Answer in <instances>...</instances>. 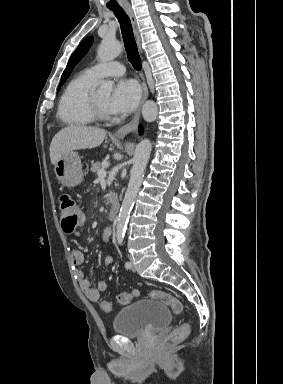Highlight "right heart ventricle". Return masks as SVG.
Here are the masks:
<instances>
[{
    "label": "right heart ventricle",
    "instance_id": "1",
    "mask_svg": "<svg viewBox=\"0 0 283 384\" xmlns=\"http://www.w3.org/2000/svg\"><path fill=\"white\" fill-rule=\"evenodd\" d=\"M95 82L86 72H80L68 81L57 107V117L65 127L84 129L95 123L87 111L89 89Z\"/></svg>",
    "mask_w": 283,
    "mask_h": 384
}]
</instances>
